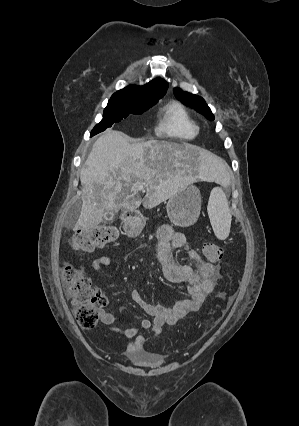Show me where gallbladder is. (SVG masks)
Returning <instances> with one entry per match:
<instances>
[{"instance_id":"1","label":"gallbladder","mask_w":299,"mask_h":426,"mask_svg":"<svg viewBox=\"0 0 299 426\" xmlns=\"http://www.w3.org/2000/svg\"><path fill=\"white\" fill-rule=\"evenodd\" d=\"M114 212H115L114 209H111V208H106L105 209V213H106L105 218H104V222L105 223H111V222H113V220H114Z\"/></svg>"}]
</instances>
